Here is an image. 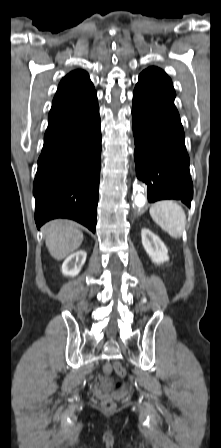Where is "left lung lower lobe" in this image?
Wrapping results in <instances>:
<instances>
[{"label": "left lung lower lobe", "instance_id": "obj_1", "mask_svg": "<svg viewBox=\"0 0 221 448\" xmlns=\"http://www.w3.org/2000/svg\"><path fill=\"white\" fill-rule=\"evenodd\" d=\"M134 159L148 201L181 200L190 207L193 185L184 130L174 101L136 86L133 92Z\"/></svg>", "mask_w": 221, "mask_h": 448}]
</instances>
